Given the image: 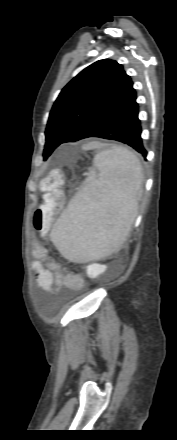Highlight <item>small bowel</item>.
I'll return each instance as SVG.
<instances>
[{
    "label": "small bowel",
    "instance_id": "small-bowel-1",
    "mask_svg": "<svg viewBox=\"0 0 177 440\" xmlns=\"http://www.w3.org/2000/svg\"><path fill=\"white\" fill-rule=\"evenodd\" d=\"M33 254L35 260L32 262V268L36 272L37 284L42 290L54 293L62 286L74 290H81L83 288L82 278L76 277L74 281H69V277L73 274L64 275L62 267L56 261L49 258L45 247L40 244L35 245Z\"/></svg>",
    "mask_w": 177,
    "mask_h": 440
}]
</instances>
